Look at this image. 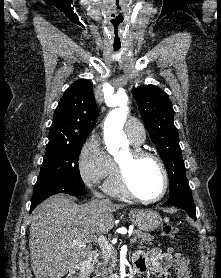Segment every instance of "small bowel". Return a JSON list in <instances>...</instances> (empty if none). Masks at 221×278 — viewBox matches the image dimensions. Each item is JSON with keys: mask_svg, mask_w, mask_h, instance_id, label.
Instances as JSON below:
<instances>
[{"mask_svg": "<svg viewBox=\"0 0 221 278\" xmlns=\"http://www.w3.org/2000/svg\"><path fill=\"white\" fill-rule=\"evenodd\" d=\"M178 257L172 252H162L158 248H153L147 253L136 252L133 259L137 271L142 272L149 269L158 278H170L169 269L173 263H176Z\"/></svg>", "mask_w": 221, "mask_h": 278, "instance_id": "obj_1", "label": "small bowel"}]
</instances>
